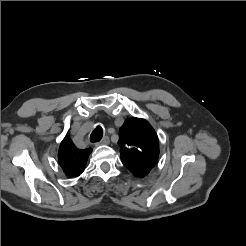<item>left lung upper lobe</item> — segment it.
<instances>
[{
    "instance_id": "obj_1",
    "label": "left lung upper lobe",
    "mask_w": 246,
    "mask_h": 246,
    "mask_svg": "<svg viewBox=\"0 0 246 246\" xmlns=\"http://www.w3.org/2000/svg\"><path fill=\"white\" fill-rule=\"evenodd\" d=\"M122 163L136 177L146 176L159 156V141L155 130L144 119L129 118L119 131Z\"/></svg>"
}]
</instances>
